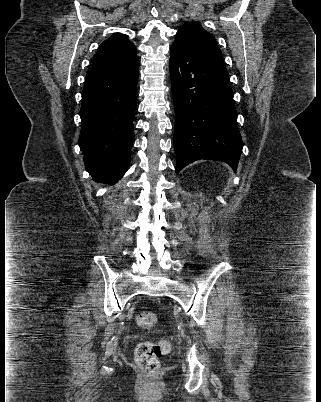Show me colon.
I'll list each match as a JSON object with an SVG mask.
<instances>
[{
    "label": "colon",
    "instance_id": "obj_1",
    "mask_svg": "<svg viewBox=\"0 0 321 402\" xmlns=\"http://www.w3.org/2000/svg\"><path fill=\"white\" fill-rule=\"evenodd\" d=\"M136 322L141 328L152 329L157 324V316L151 311H142L137 315ZM170 348L167 340L143 341L135 349V361L143 372L154 374L160 367V361L169 354Z\"/></svg>",
    "mask_w": 321,
    "mask_h": 402
}]
</instances>
